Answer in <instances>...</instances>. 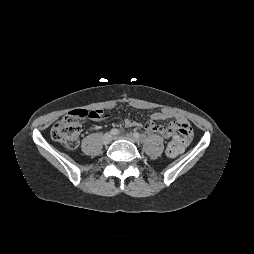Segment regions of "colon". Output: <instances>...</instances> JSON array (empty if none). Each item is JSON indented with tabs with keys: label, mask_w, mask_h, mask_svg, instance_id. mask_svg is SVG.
Segmentation results:
<instances>
[{
	"label": "colon",
	"mask_w": 254,
	"mask_h": 254,
	"mask_svg": "<svg viewBox=\"0 0 254 254\" xmlns=\"http://www.w3.org/2000/svg\"><path fill=\"white\" fill-rule=\"evenodd\" d=\"M101 111H87L78 109L72 113L64 116L57 121L52 129V138L65 145L69 149H74L78 146L79 136L82 130V121L84 119H96L100 116ZM176 130L180 133L168 145L167 154L169 156H176L182 152L184 147L188 144L191 136V127L188 124H178Z\"/></svg>",
	"instance_id": "5ec220e1"
}]
</instances>
